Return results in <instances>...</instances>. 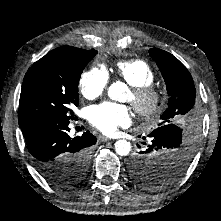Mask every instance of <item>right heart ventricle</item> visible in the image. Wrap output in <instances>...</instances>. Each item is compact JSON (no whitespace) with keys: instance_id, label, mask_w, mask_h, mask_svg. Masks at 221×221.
Returning a JSON list of instances; mask_svg holds the SVG:
<instances>
[{"instance_id":"obj_1","label":"right heart ventricle","mask_w":221,"mask_h":221,"mask_svg":"<svg viewBox=\"0 0 221 221\" xmlns=\"http://www.w3.org/2000/svg\"><path fill=\"white\" fill-rule=\"evenodd\" d=\"M115 73L132 87L150 85L155 79L151 66L141 59L118 61Z\"/></svg>"}]
</instances>
